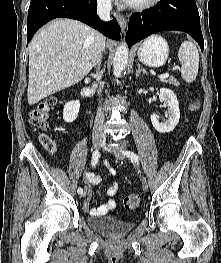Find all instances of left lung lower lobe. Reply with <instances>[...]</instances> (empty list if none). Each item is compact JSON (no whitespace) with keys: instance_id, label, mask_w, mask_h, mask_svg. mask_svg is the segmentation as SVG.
Listing matches in <instances>:
<instances>
[{"instance_id":"left-lung-lower-lobe-1","label":"left lung lower lobe","mask_w":221,"mask_h":263,"mask_svg":"<svg viewBox=\"0 0 221 263\" xmlns=\"http://www.w3.org/2000/svg\"><path fill=\"white\" fill-rule=\"evenodd\" d=\"M167 30L188 33L203 51L204 40L195 0H160L155 7L136 13L129 20L126 41L131 47L153 33Z\"/></svg>"}]
</instances>
